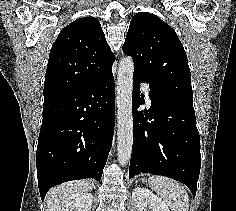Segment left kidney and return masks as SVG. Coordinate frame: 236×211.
<instances>
[{
	"label": "left kidney",
	"instance_id": "5707ae66",
	"mask_svg": "<svg viewBox=\"0 0 236 211\" xmlns=\"http://www.w3.org/2000/svg\"><path fill=\"white\" fill-rule=\"evenodd\" d=\"M132 199L137 211H144L147 206H150L153 211H170L163 200L146 188L135 187L132 191Z\"/></svg>",
	"mask_w": 236,
	"mask_h": 211
}]
</instances>
